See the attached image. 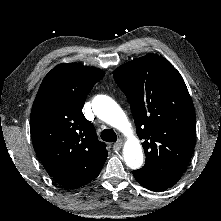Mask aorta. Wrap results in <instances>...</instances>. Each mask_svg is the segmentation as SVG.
Returning a JSON list of instances; mask_svg holds the SVG:
<instances>
[{"label": "aorta", "instance_id": "aorta-1", "mask_svg": "<svg viewBox=\"0 0 221 221\" xmlns=\"http://www.w3.org/2000/svg\"><path fill=\"white\" fill-rule=\"evenodd\" d=\"M92 109L98 118L124 134L131 132V123L121 107L106 95H97L92 101ZM123 156L126 165L132 169L141 167L143 152L139 140L131 137L125 143Z\"/></svg>", "mask_w": 221, "mask_h": 221}]
</instances>
